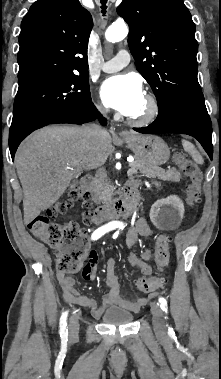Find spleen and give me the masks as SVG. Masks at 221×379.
<instances>
[{"label":"spleen","instance_id":"obj_1","mask_svg":"<svg viewBox=\"0 0 221 379\" xmlns=\"http://www.w3.org/2000/svg\"><path fill=\"white\" fill-rule=\"evenodd\" d=\"M182 145H183L184 150L191 155V157L196 163L198 164L204 163L202 156L198 153V151L195 149L193 144H191L187 140H182Z\"/></svg>","mask_w":221,"mask_h":379}]
</instances>
